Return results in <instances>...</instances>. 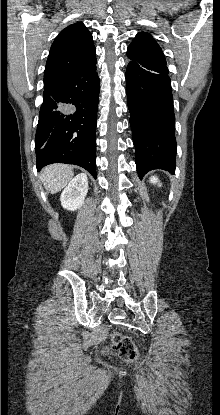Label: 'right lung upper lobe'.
I'll use <instances>...</instances> for the list:
<instances>
[{"label": "right lung upper lobe", "mask_w": 220, "mask_h": 415, "mask_svg": "<svg viewBox=\"0 0 220 415\" xmlns=\"http://www.w3.org/2000/svg\"><path fill=\"white\" fill-rule=\"evenodd\" d=\"M91 33L81 22L63 29L55 38L46 62L44 83L87 68L96 62Z\"/></svg>", "instance_id": "cb5924a9"}]
</instances>
